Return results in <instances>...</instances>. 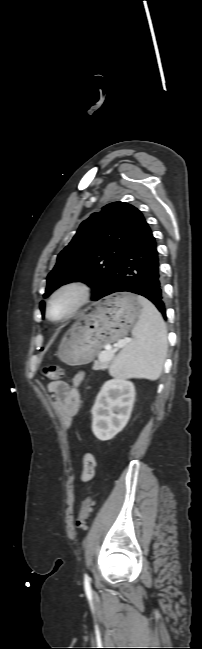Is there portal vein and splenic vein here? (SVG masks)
<instances>
[{
  "label": "portal vein and splenic vein",
  "mask_w": 202,
  "mask_h": 649,
  "mask_svg": "<svg viewBox=\"0 0 202 649\" xmlns=\"http://www.w3.org/2000/svg\"><path fill=\"white\" fill-rule=\"evenodd\" d=\"M128 342H130V339H123V340H120V341L118 342V345L116 346V348H121V347H123V346H124L126 343H128ZM107 350H112V348L109 347V348H107ZM113 356H114L113 354H108V353H106V351H104V352H102V353L100 354V356H99V360H100V361H110V360H112ZM94 369H97V368L94 367Z\"/></svg>",
  "instance_id": "18ae733b"
}]
</instances>
